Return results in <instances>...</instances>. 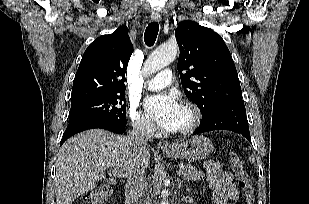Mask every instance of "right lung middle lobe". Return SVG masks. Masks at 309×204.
<instances>
[{"label": "right lung middle lobe", "mask_w": 309, "mask_h": 204, "mask_svg": "<svg viewBox=\"0 0 309 204\" xmlns=\"http://www.w3.org/2000/svg\"><path fill=\"white\" fill-rule=\"evenodd\" d=\"M124 92L110 93L71 104L69 124L83 119H102L126 126Z\"/></svg>", "instance_id": "obj_1"}]
</instances>
